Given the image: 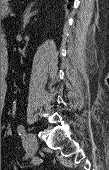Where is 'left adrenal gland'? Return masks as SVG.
I'll return each mask as SVG.
<instances>
[{"label": "left adrenal gland", "mask_w": 109, "mask_h": 170, "mask_svg": "<svg viewBox=\"0 0 109 170\" xmlns=\"http://www.w3.org/2000/svg\"><path fill=\"white\" fill-rule=\"evenodd\" d=\"M34 4H35V3L32 2V3L27 7V9H26V11H25V13H24V16H23V24H22V28H23V29H24V28L26 27V25L29 23L30 18L37 13V11L31 12V9H32V7H33Z\"/></svg>", "instance_id": "left-adrenal-gland-1"}]
</instances>
